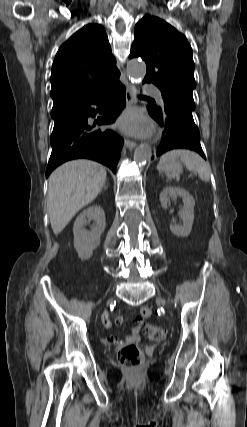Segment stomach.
Instances as JSON below:
<instances>
[{
	"instance_id": "0dacf381",
	"label": "stomach",
	"mask_w": 247,
	"mask_h": 427,
	"mask_svg": "<svg viewBox=\"0 0 247 427\" xmlns=\"http://www.w3.org/2000/svg\"><path fill=\"white\" fill-rule=\"evenodd\" d=\"M158 170L164 172L168 178H175L181 173L182 165L178 161L172 160L162 166H158Z\"/></svg>"
}]
</instances>
